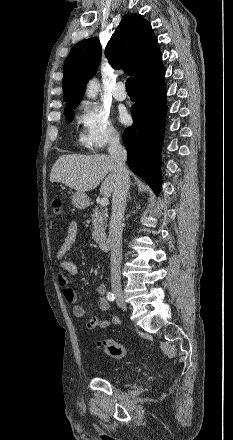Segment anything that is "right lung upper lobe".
<instances>
[{
    "instance_id": "obj_1",
    "label": "right lung upper lobe",
    "mask_w": 233,
    "mask_h": 440,
    "mask_svg": "<svg viewBox=\"0 0 233 440\" xmlns=\"http://www.w3.org/2000/svg\"><path fill=\"white\" fill-rule=\"evenodd\" d=\"M105 54L112 67L133 75L135 84L163 66L152 27L135 13L123 16L107 43ZM100 58L101 45L97 38L82 40L71 49L64 63L62 81L65 108L82 100L87 81L96 73Z\"/></svg>"
}]
</instances>
